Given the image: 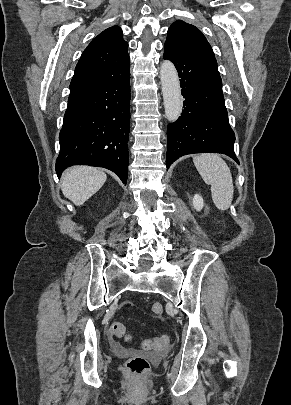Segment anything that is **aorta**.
Masks as SVG:
<instances>
[{
	"label": "aorta",
	"instance_id": "1",
	"mask_svg": "<svg viewBox=\"0 0 291 405\" xmlns=\"http://www.w3.org/2000/svg\"><path fill=\"white\" fill-rule=\"evenodd\" d=\"M160 79L165 107V116L175 122L181 115L183 98L177 70L169 60H164L160 67Z\"/></svg>",
	"mask_w": 291,
	"mask_h": 405
}]
</instances>
